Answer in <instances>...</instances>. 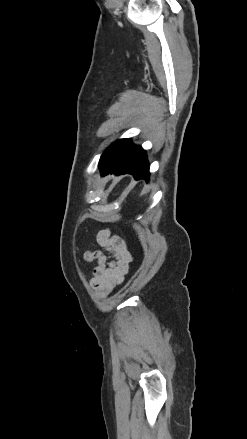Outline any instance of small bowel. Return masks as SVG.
<instances>
[{"label":"small bowel","instance_id":"1","mask_svg":"<svg viewBox=\"0 0 247 439\" xmlns=\"http://www.w3.org/2000/svg\"><path fill=\"white\" fill-rule=\"evenodd\" d=\"M96 241L107 251L108 256L101 250H95L85 252L84 259L88 262H97L93 269L91 285L100 295L106 296L125 279L132 256L124 240L111 235L109 230L100 231Z\"/></svg>","mask_w":247,"mask_h":439}]
</instances>
